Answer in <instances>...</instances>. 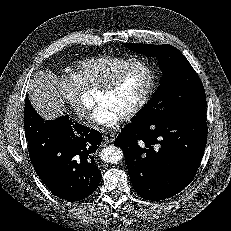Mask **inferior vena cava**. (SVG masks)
Returning a JSON list of instances; mask_svg holds the SVG:
<instances>
[{
    "label": "inferior vena cava",
    "mask_w": 231,
    "mask_h": 231,
    "mask_svg": "<svg viewBox=\"0 0 231 231\" xmlns=\"http://www.w3.org/2000/svg\"><path fill=\"white\" fill-rule=\"evenodd\" d=\"M88 116H89L88 112H87V111H84L83 114H82V117L87 118Z\"/></svg>",
    "instance_id": "1"
}]
</instances>
